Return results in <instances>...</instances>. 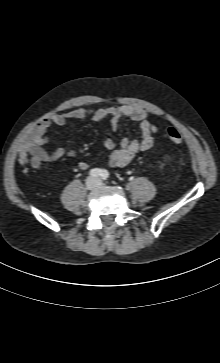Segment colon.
<instances>
[{
    "label": "colon",
    "instance_id": "obj_1",
    "mask_svg": "<svg viewBox=\"0 0 220 363\" xmlns=\"http://www.w3.org/2000/svg\"><path fill=\"white\" fill-rule=\"evenodd\" d=\"M166 135L168 140L173 144H180L183 141L182 134L175 128H169Z\"/></svg>",
    "mask_w": 220,
    "mask_h": 363
}]
</instances>
